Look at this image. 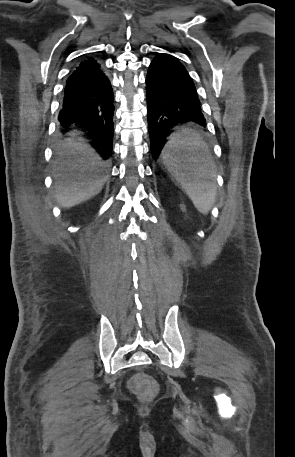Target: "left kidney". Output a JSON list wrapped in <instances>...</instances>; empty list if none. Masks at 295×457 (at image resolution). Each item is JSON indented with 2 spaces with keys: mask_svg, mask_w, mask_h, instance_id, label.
Instances as JSON below:
<instances>
[{
  "mask_svg": "<svg viewBox=\"0 0 295 457\" xmlns=\"http://www.w3.org/2000/svg\"><path fill=\"white\" fill-rule=\"evenodd\" d=\"M182 210L185 211V207L184 206H182Z\"/></svg>",
  "mask_w": 295,
  "mask_h": 457,
  "instance_id": "1",
  "label": "left kidney"
}]
</instances>
